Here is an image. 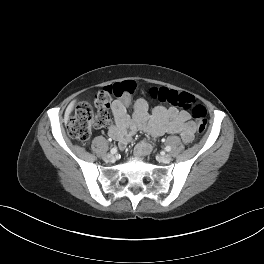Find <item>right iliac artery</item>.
Returning <instances> with one entry per match:
<instances>
[{
    "label": "right iliac artery",
    "mask_w": 264,
    "mask_h": 264,
    "mask_svg": "<svg viewBox=\"0 0 264 264\" xmlns=\"http://www.w3.org/2000/svg\"><path fill=\"white\" fill-rule=\"evenodd\" d=\"M112 154H115L117 152V147H113L110 151Z\"/></svg>",
    "instance_id": "obj_1"
}]
</instances>
